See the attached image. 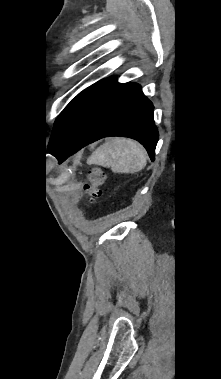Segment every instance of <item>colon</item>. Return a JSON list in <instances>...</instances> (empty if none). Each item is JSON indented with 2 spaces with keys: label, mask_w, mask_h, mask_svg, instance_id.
Listing matches in <instances>:
<instances>
[{
  "label": "colon",
  "mask_w": 221,
  "mask_h": 379,
  "mask_svg": "<svg viewBox=\"0 0 221 379\" xmlns=\"http://www.w3.org/2000/svg\"><path fill=\"white\" fill-rule=\"evenodd\" d=\"M89 182L84 185V190L89 202H94L102 194L101 185L104 183L106 175L99 168H91L88 172Z\"/></svg>",
  "instance_id": "obj_1"
}]
</instances>
